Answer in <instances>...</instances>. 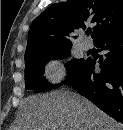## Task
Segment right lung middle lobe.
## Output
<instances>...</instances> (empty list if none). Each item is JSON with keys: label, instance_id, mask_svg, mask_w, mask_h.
Segmentation results:
<instances>
[{"label": "right lung middle lobe", "instance_id": "right-lung-middle-lobe-1", "mask_svg": "<svg viewBox=\"0 0 123 130\" xmlns=\"http://www.w3.org/2000/svg\"><path fill=\"white\" fill-rule=\"evenodd\" d=\"M70 48L32 55L25 58V88L33 89L35 92H42L56 88L49 84L43 77L45 64L55 58H66L70 56ZM84 59H72L66 64L68 68V79L73 77L85 64Z\"/></svg>", "mask_w": 123, "mask_h": 130}]
</instances>
